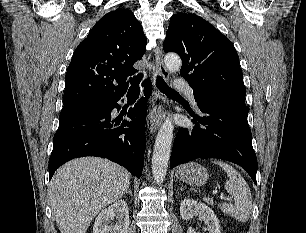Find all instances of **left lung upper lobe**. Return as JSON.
<instances>
[{
    "mask_svg": "<svg viewBox=\"0 0 306 233\" xmlns=\"http://www.w3.org/2000/svg\"><path fill=\"white\" fill-rule=\"evenodd\" d=\"M163 49L176 52L180 70L196 101L227 100L245 105L246 89L238 54L231 41L195 14L170 19Z\"/></svg>",
    "mask_w": 306,
    "mask_h": 233,
    "instance_id": "5c2ea615",
    "label": "left lung upper lobe"
}]
</instances>
